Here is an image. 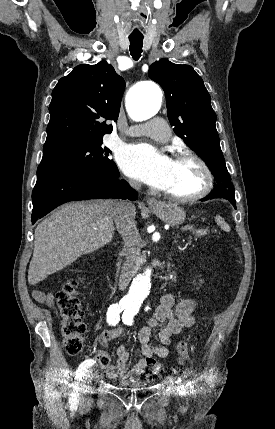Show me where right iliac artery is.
Here are the masks:
<instances>
[{"mask_svg":"<svg viewBox=\"0 0 275 429\" xmlns=\"http://www.w3.org/2000/svg\"><path fill=\"white\" fill-rule=\"evenodd\" d=\"M124 308H125V305L121 303L110 305L107 311V322L109 325L115 326L118 324L120 320V313ZM94 363L95 361L93 359H88L79 365L75 376V379L77 380V382L75 383V386H74L75 389L71 393V398H70V403L72 407H75L78 402V396H79L78 383L80 382V380H82V377L85 375V373Z\"/></svg>","mask_w":275,"mask_h":429,"instance_id":"obj_1","label":"right iliac artery"}]
</instances>
